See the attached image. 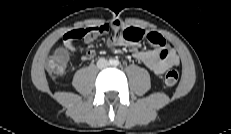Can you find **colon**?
I'll list each match as a JSON object with an SVG mask.
<instances>
[{
  "mask_svg": "<svg viewBox=\"0 0 231 134\" xmlns=\"http://www.w3.org/2000/svg\"><path fill=\"white\" fill-rule=\"evenodd\" d=\"M68 53L66 50L60 48L57 49L48 59L46 68L50 74L60 75L62 74L67 65ZM179 75L176 70H168L164 75V82L167 86H174L178 81Z\"/></svg>",
  "mask_w": 231,
  "mask_h": 134,
  "instance_id": "5ec220e1",
  "label": "colon"
}]
</instances>
